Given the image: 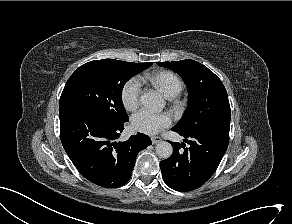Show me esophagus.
Returning <instances> with one entry per match:
<instances>
[{
  "instance_id": "1",
  "label": "esophagus",
  "mask_w": 292,
  "mask_h": 224,
  "mask_svg": "<svg viewBox=\"0 0 292 224\" xmlns=\"http://www.w3.org/2000/svg\"><path fill=\"white\" fill-rule=\"evenodd\" d=\"M151 141H152L153 144H157V143L162 141V138L158 137V136H152L151 137Z\"/></svg>"
}]
</instances>
